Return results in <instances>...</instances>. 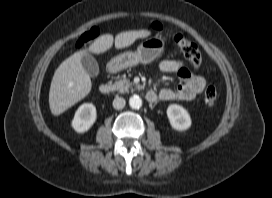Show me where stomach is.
Masks as SVG:
<instances>
[{
  "label": "stomach",
  "mask_w": 272,
  "mask_h": 198,
  "mask_svg": "<svg viewBox=\"0 0 272 198\" xmlns=\"http://www.w3.org/2000/svg\"><path fill=\"white\" fill-rule=\"evenodd\" d=\"M164 47L165 41L161 37L146 39L135 52L126 51L112 58L107 64L108 71L117 73L138 64H149L161 56Z\"/></svg>",
  "instance_id": "obj_1"
}]
</instances>
